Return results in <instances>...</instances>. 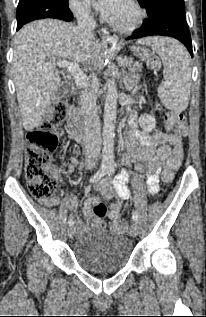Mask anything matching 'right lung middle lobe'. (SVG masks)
<instances>
[{
	"instance_id": "dd1d6c3e",
	"label": "right lung middle lobe",
	"mask_w": 206,
	"mask_h": 317,
	"mask_svg": "<svg viewBox=\"0 0 206 317\" xmlns=\"http://www.w3.org/2000/svg\"><path fill=\"white\" fill-rule=\"evenodd\" d=\"M68 10V0H19L17 28L33 20L57 18L59 12Z\"/></svg>"
}]
</instances>
